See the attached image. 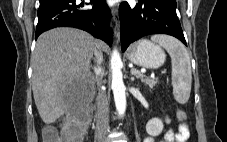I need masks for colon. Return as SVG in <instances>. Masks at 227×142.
<instances>
[{
    "mask_svg": "<svg viewBox=\"0 0 227 142\" xmlns=\"http://www.w3.org/2000/svg\"><path fill=\"white\" fill-rule=\"evenodd\" d=\"M177 115L181 124H187L183 110L178 109ZM87 122L88 116L86 114H78L61 130L54 126H47L43 129L42 140L43 142H81ZM184 134L186 135V131Z\"/></svg>",
    "mask_w": 227,
    "mask_h": 142,
    "instance_id": "colon-1",
    "label": "colon"
}]
</instances>
